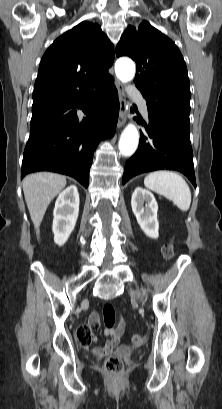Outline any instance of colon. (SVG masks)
Returning <instances> with one entry per match:
<instances>
[{
	"label": "colon",
	"mask_w": 222,
	"mask_h": 409,
	"mask_svg": "<svg viewBox=\"0 0 222 409\" xmlns=\"http://www.w3.org/2000/svg\"><path fill=\"white\" fill-rule=\"evenodd\" d=\"M162 254L166 260H170L174 255L173 244H166L162 248ZM103 319L107 328L113 327L115 323V310L109 303H106L103 307ZM76 336L81 344H86L90 342L92 334L86 325H81L77 328ZM132 340L135 344L143 343V337L139 334H135ZM104 369L111 377L119 379L124 370L123 359L119 356L108 357L104 362Z\"/></svg>",
	"instance_id": "5ec220e1"
}]
</instances>
